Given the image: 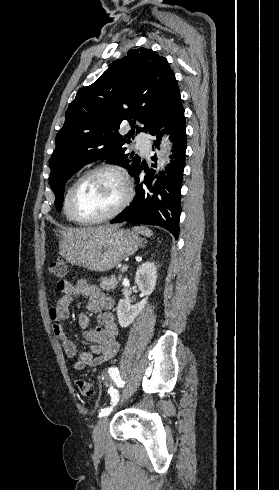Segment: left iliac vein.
<instances>
[{
  "mask_svg": "<svg viewBox=\"0 0 279 490\" xmlns=\"http://www.w3.org/2000/svg\"><path fill=\"white\" fill-rule=\"evenodd\" d=\"M108 425H109L108 418L103 417L99 419L95 427L93 439L95 444V451L97 453H101L105 448Z\"/></svg>",
  "mask_w": 279,
  "mask_h": 490,
  "instance_id": "obj_1",
  "label": "left iliac vein"
}]
</instances>
